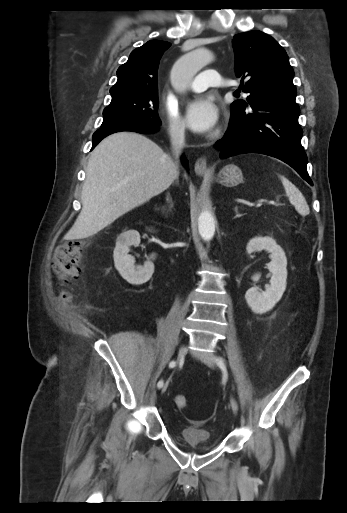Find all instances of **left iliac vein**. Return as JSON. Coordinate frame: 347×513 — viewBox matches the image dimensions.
<instances>
[{
  "instance_id": "obj_1",
  "label": "left iliac vein",
  "mask_w": 347,
  "mask_h": 513,
  "mask_svg": "<svg viewBox=\"0 0 347 513\" xmlns=\"http://www.w3.org/2000/svg\"><path fill=\"white\" fill-rule=\"evenodd\" d=\"M202 361L210 368H215L216 367V360H215V357L212 356V355H209V356H205V357H202ZM231 408H232V411L234 412V414H237L238 412V404H237V401L234 399V398H231Z\"/></svg>"
}]
</instances>
